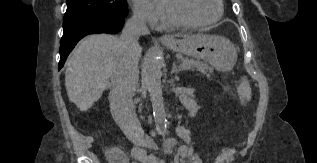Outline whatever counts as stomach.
I'll return each mask as SVG.
<instances>
[{"label":"stomach","mask_w":317,"mask_h":163,"mask_svg":"<svg viewBox=\"0 0 317 163\" xmlns=\"http://www.w3.org/2000/svg\"><path fill=\"white\" fill-rule=\"evenodd\" d=\"M163 44L186 56L206 60L220 70L232 69L237 60L235 46L229 40L216 35H193Z\"/></svg>","instance_id":"stomach-1"}]
</instances>
